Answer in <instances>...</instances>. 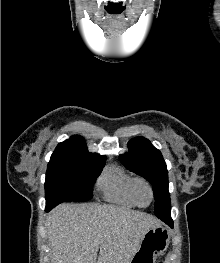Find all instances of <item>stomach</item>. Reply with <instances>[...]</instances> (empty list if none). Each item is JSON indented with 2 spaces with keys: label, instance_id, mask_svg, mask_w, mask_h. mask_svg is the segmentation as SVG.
<instances>
[{
  "label": "stomach",
  "instance_id": "obj_1",
  "mask_svg": "<svg viewBox=\"0 0 220 263\" xmlns=\"http://www.w3.org/2000/svg\"><path fill=\"white\" fill-rule=\"evenodd\" d=\"M169 243L170 233L167 229L162 226L151 228L129 263H156V258L167 250Z\"/></svg>",
  "mask_w": 220,
  "mask_h": 263
}]
</instances>
